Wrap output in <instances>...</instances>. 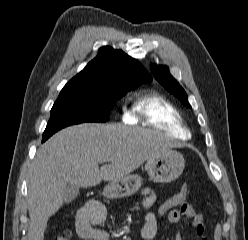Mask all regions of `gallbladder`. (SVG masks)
Here are the masks:
<instances>
[{"label": "gallbladder", "instance_id": "obj_1", "mask_svg": "<svg viewBox=\"0 0 248 240\" xmlns=\"http://www.w3.org/2000/svg\"><path fill=\"white\" fill-rule=\"evenodd\" d=\"M79 194V187L68 184L63 190V199L66 203L72 202Z\"/></svg>", "mask_w": 248, "mask_h": 240}]
</instances>
